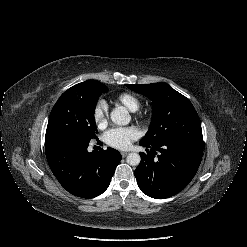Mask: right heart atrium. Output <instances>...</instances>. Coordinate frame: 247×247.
<instances>
[{"label": "right heart atrium", "mask_w": 247, "mask_h": 247, "mask_svg": "<svg viewBox=\"0 0 247 247\" xmlns=\"http://www.w3.org/2000/svg\"><path fill=\"white\" fill-rule=\"evenodd\" d=\"M108 106L104 100H98L92 110L95 123L98 126H104L108 120Z\"/></svg>", "instance_id": "1"}]
</instances>
